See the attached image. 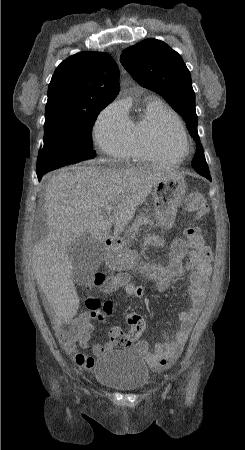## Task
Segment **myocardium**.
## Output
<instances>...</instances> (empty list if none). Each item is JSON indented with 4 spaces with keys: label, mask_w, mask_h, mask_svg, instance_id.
I'll return each instance as SVG.
<instances>
[{
    "label": "myocardium",
    "mask_w": 245,
    "mask_h": 450,
    "mask_svg": "<svg viewBox=\"0 0 245 450\" xmlns=\"http://www.w3.org/2000/svg\"><path fill=\"white\" fill-rule=\"evenodd\" d=\"M165 120H170L175 125V127L177 128L179 134L181 135V137L184 140L186 151L183 154L175 153L168 145H166L164 143V141L162 140L160 134L158 132H156V131H155V144L160 150L168 153L169 155H171L176 160L184 159L185 157H187L190 154V151H191L190 139H189V137H188V135H187L183 125L179 121H177L175 118H165Z\"/></svg>",
    "instance_id": "f54148a6"
}]
</instances>
